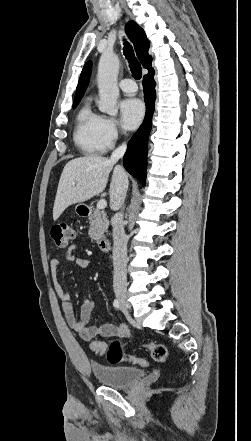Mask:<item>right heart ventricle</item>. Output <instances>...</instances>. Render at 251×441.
I'll list each match as a JSON object with an SVG mask.
<instances>
[{
    "instance_id": "e07e8e85",
    "label": "right heart ventricle",
    "mask_w": 251,
    "mask_h": 441,
    "mask_svg": "<svg viewBox=\"0 0 251 441\" xmlns=\"http://www.w3.org/2000/svg\"><path fill=\"white\" fill-rule=\"evenodd\" d=\"M101 118L88 103L77 113L73 138L77 147L85 154H100L109 148L100 132Z\"/></svg>"
}]
</instances>
